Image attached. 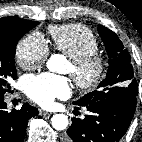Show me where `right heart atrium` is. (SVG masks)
<instances>
[{"label":"right heart atrium","mask_w":142,"mask_h":142,"mask_svg":"<svg viewBox=\"0 0 142 142\" xmlns=\"http://www.w3.org/2000/svg\"><path fill=\"white\" fill-rule=\"evenodd\" d=\"M49 53L48 44L39 32H31L16 46L15 56L19 66L25 70L39 68Z\"/></svg>","instance_id":"right-heart-atrium-1"}]
</instances>
